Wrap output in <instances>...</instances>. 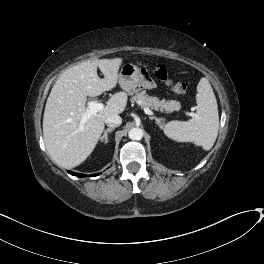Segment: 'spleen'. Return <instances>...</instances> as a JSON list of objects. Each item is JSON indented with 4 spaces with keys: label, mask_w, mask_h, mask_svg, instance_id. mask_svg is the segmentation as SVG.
Returning a JSON list of instances; mask_svg holds the SVG:
<instances>
[{
    "label": "spleen",
    "mask_w": 264,
    "mask_h": 264,
    "mask_svg": "<svg viewBox=\"0 0 264 264\" xmlns=\"http://www.w3.org/2000/svg\"><path fill=\"white\" fill-rule=\"evenodd\" d=\"M196 102L198 109L190 120H173L165 124L164 133L177 142H192L210 150L219 131L218 106L215 94L207 78L197 85Z\"/></svg>",
    "instance_id": "spleen-1"
}]
</instances>
